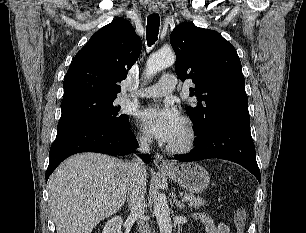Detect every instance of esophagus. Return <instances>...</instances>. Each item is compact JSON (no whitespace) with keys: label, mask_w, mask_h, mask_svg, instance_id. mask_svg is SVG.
Segmentation results:
<instances>
[{"label":"esophagus","mask_w":306,"mask_h":233,"mask_svg":"<svg viewBox=\"0 0 306 233\" xmlns=\"http://www.w3.org/2000/svg\"><path fill=\"white\" fill-rule=\"evenodd\" d=\"M150 13H158L159 7L156 4L149 5ZM154 164L157 168H169L171 165L163 158L160 154H155L154 156Z\"/></svg>","instance_id":"obj_1"}]
</instances>
